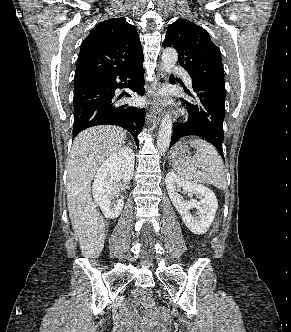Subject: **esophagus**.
Masks as SVG:
<instances>
[{"mask_svg":"<svg viewBox=\"0 0 291 332\" xmlns=\"http://www.w3.org/2000/svg\"><path fill=\"white\" fill-rule=\"evenodd\" d=\"M166 82H167L166 73L160 67L158 70V73H157V79L153 86V99H152V107H151V111H150V117L157 123L161 119L162 108L159 106L156 96H157L158 90H160V88L162 86H164Z\"/></svg>","mask_w":291,"mask_h":332,"instance_id":"obj_1","label":"esophagus"}]
</instances>
